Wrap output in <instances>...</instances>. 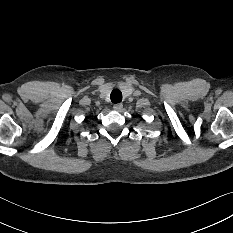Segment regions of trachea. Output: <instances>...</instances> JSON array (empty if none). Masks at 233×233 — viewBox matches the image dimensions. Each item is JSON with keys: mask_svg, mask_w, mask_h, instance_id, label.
I'll use <instances>...</instances> for the list:
<instances>
[{"mask_svg": "<svg viewBox=\"0 0 233 233\" xmlns=\"http://www.w3.org/2000/svg\"><path fill=\"white\" fill-rule=\"evenodd\" d=\"M111 101L113 103H119L122 101V93L120 90L118 89H114L112 92H111Z\"/></svg>", "mask_w": 233, "mask_h": 233, "instance_id": "obj_1", "label": "trachea"}]
</instances>
